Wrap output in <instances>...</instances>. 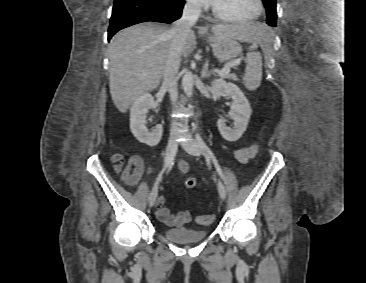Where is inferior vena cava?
<instances>
[{
  "instance_id": "inferior-vena-cava-1",
  "label": "inferior vena cava",
  "mask_w": 366,
  "mask_h": 283,
  "mask_svg": "<svg viewBox=\"0 0 366 283\" xmlns=\"http://www.w3.org/2000/svg\"><path fill=\"white\" fill-rule=\"evenodd\" d=\"M201 13V7L196 0H186L183 13L180 19L174 22L169 30L171 43L164 63L163 83L167 87L170 99L173 103L177 101V80L181 61L182 49L191 27L196 23ZM179 129L176 121L172 122V133Z\"/></svg>"
}]
</instances>
